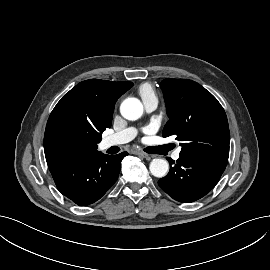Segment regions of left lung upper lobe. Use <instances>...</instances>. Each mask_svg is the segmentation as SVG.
<instances>
[{"instance_id":"5c2ea615","label":"left lung upper lobe","mask_w":270,"mask_h":270,"mask_svg":"<svg viewBox=\"0 0 270 270\" xmlns=\"http://www.w3.org/2000/svg\"><path fill=\"white\" fill-rule=\"evenodd\" d=\"M170 120L163 136L176 135L180 155L213 159L227 164L229 126L218 100L204 87L188 79L167 78L161 82Z\"/></svg>"}]
</instances>
